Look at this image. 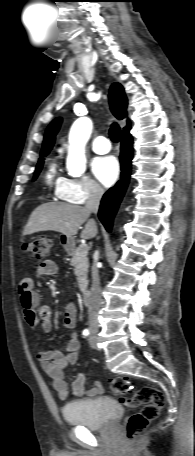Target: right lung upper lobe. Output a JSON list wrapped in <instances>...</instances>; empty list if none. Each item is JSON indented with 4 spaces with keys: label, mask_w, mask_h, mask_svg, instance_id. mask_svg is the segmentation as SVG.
Instances as JSON below:
<instances>
[{
    "label": "right lung upper lobe",
    "mask_w": 195,
    "mask_h": 456,
    "mask_svg": "<svg viewBox=\"0 0 195 456\" xmlns=\"http://www.w3.org/2000/svg\"><path fill=\"white\" fill-rule=\"evenodd\" d=\"M109 102L111 110L115 117L119 120L123 119L127 115V98L124 93V89L119 83H114L110 88ZM61 124V118L54 119L46 130V134L43 141V147L41 156L47 155L53 147L55 135L59 130ZM130 122L124 128V133L129 132Z\"/></svg>",
    "instance_id": "cb5924a9"
}]
</instances>
